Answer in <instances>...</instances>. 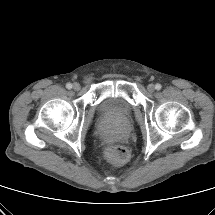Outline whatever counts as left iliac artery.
<instances>
[{
    "label": "left iliac artery",
    "mask_w": 215,
    "mask_h": 215,
    "mask_svg": "<svg viewBox=\"0 0 215 215\" xmlns=\"http://www.w3.org/2000/svg\"><path fill=\"white\" fill-rule=\"evenodd\" d=\"M161 87H162V86H161V84H159V83H157V84L155 85V89H156V90H160Z\"/></svg>",
    "instance_id": "44dca946"
}]
</instances>
